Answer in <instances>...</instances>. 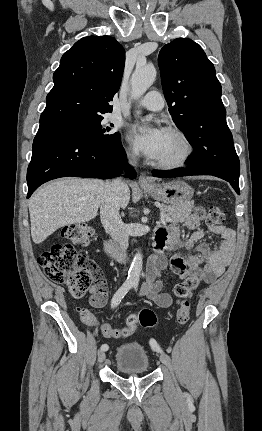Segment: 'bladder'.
<instances>
[{
    "mask_svg": "<svg viewBox=\"0 0 262 431\" xmlns=\"http://www.w3.org/2000/svg\"><path fill=\"white\" fill-rule=\"evenodd\" d=\"M116 366L124 373L144 374L149 369V357L143 345L123 343L116 349Z\"/></svg>",
    "mask_w": 262,
    "mask_h": 431,
    "instance_id": "1",
    "label": "bladder"
}]
</instances>
